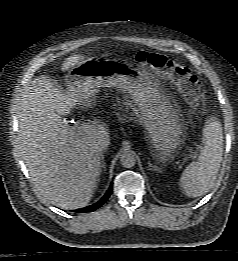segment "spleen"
<instances>
[{
	"mask_svg": "<svg viewBox=\"0 0 238 261\" xmlns=\"http://www.w3.org/2000/svg\"><path fill=\"white\" fill-rule=\"evenodd\" d=\"M203 148L196 162L190 163L180 178L183 193L191 198L202 196L213 187L223 154V130L216 117H210L203 128Z\"/></svg>",
	"mask_w": 238,
	"mask_h": 261,
	"instance_id": "obj_1",
	"label": "spleen"
}]
</instances>
